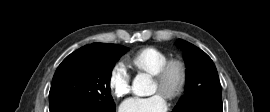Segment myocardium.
<instances>
[{
	"label": "myocardium",
	"instance_id": "myocardium-1",
	"mask_svg": "<svg viewBox=\"0 0 270 112\" xmlns=\"http://www.w3.org/2000/svg\"><path fill=\"white\" fill-rule=\"evenodd\" d=\"M152 77L158 84L160 93L166 99L173 101L179 98L186 88L188 68L183 60L173 58L167 60Z\"/></svg>",
	"mask_w": 270,
	"mask_h": 112
}]
</instances>
